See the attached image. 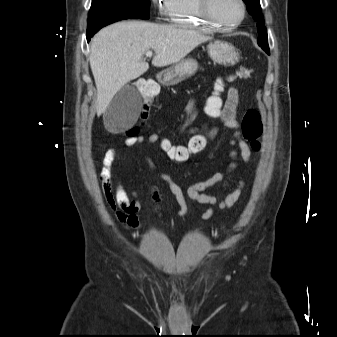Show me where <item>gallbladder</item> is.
<instances>
[{
	"mask_svg": "<svg viewBox=\"0 0 337 337\" xmlns=\"http://www.w3.org/2000/svg\"><path fill=\"white\" fill-rule=\"evenodd\" d=\"M141 105L138 91L133 86H123L104 112L103 120L107 130L121 132L131 127L140 114Z\"/></svg>",
	"mask_w": 337,
	"mask_h": 337,
	"instance_id": "1",
	"label": "gallbladder"
}]
</instances>
